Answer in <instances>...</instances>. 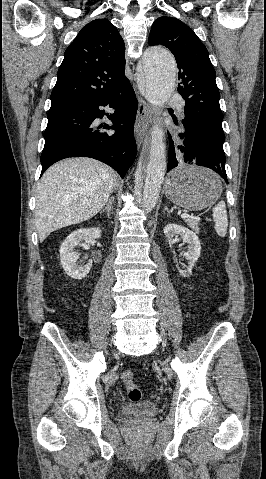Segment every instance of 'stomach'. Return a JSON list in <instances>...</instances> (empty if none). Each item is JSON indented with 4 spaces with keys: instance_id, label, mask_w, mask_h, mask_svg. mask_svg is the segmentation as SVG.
I'll return each instance as SVG.
<instances>
[{
    "instance_id": "0dacf381",
    "label": "stomach",
    "mask_w": 266,
    "mask_h": 479,
    "mask_svg": "<svg viewBox=\"0 0 266 479\" xmlns=\"http://www.w3.org/2000/svg\"><path fill=\"white\" fill-rule=\"evenodd\" d=\"M222 184L209 169L196 165H182L171 171L166 179V197L190 211L211 206L221 195Z\"/></svg>"
}]
</instances>
